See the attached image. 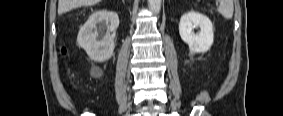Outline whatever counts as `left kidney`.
Segmentation results:
<instances>
[{"label":"left kidney","instance_id":"1","mask_svg":"<svg viewBox=\"0 0 283 116\" xmlns=\"http://www.w3.org/2000/svg\"><path fill=\"white\" fill-rule=\"evenodd\" d=\"M199 27L195 34L193 28ZM179 33L182 40L189 45L190 55L207 52L214 40L213 25L208 17L195 11L185 13L179 23Z\"/></svg>","mask_w":283,"mask_h":116}]
</instances>
